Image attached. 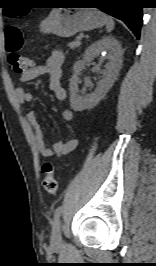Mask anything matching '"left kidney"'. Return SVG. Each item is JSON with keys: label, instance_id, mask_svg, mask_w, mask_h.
I'll list each match as a JSON object with an SVG mask.
<instances>
[{"label": "left kidney", "instance_id": "1", "mask_svg": "<svg viewBox=\"0 0 156 266\" xmlns=\"http://www.w3.org/2000/svg\"><path fill=\"white\" fill-rule=\"evenodd\" d=\"M106 53L108 63L105 65L103 78L97 83L93 93L80 95L78 90V75L85 64L92 61L99 54ZM122 48L119 41L111 36L103 37L91 44L85 51L83 59L73 66V75L70 79V105L74 111H83L98 104L114 84L122 65Z\"/></svg>", "mask_w": 156, "mask_h": 266}]
</instances>
